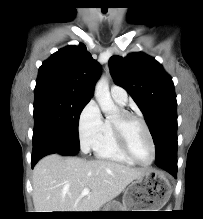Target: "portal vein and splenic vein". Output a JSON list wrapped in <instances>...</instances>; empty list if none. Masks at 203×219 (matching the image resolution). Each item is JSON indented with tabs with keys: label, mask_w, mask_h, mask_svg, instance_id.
Returning <instances> with one entry per match:
<instances>
[{
	"label": "portal vein and splenic vein",
	"mask_w": 203,
	"mask_h": 219,
	"mask_svg": "<svg viewBox=\"0 0 203 219\" xmlns=\"http://www.w3.org/2000/svg\"><path fill=\"white\" fill-rule=\"evenodd\" d=\"M89 193H90V190H89L88 188H84L83 191H82V193H81V195H82V196H85V195H87V194H89Z\"/></svg>",
	"instance_id": "1"
}]
</instances>
